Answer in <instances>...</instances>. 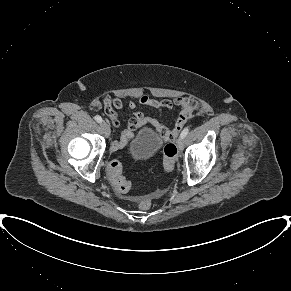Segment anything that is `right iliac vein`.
<instances>
[{"label": "right iliac vein", "instance_id": "obj_1", "mask_svg": "<svg viewBox=\"0 0 291 291\" xmlns=\"http://www.w3.org/2000/svg\"><path fill=\"white\" fill-rule=\"evenodd\" d=\"M101 128H102L105 136H109L110 135L111 130H110V126H109V124L107 122L102 121L101 122Z\"/></svg>", "mask_w": 291, "mask_h": 291}]
</instances>
